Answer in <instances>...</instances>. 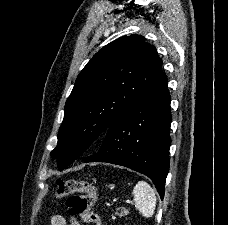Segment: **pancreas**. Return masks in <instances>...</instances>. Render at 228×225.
Wrapping results in <instances>:
<instances>
[{
	"instance_id": "1",
	"label": "pancreas",
	"mask_w": 228,
	"mask_h": 225,
	"mask_svg": "<svg viewBox=\"0 0 228 225\" xmlns=\"http://www.w3.org/2000/svg\"><path fill=\"white\" fill-rule=\"evenodd\" d=\"M117 211H121V213H115V215H119V217H124V215H128L129 213V211L124 209V207H120V209H117ZM115 215H112L111 219H115Z\"/></svg>"
}]
</instances>
